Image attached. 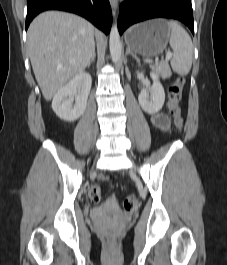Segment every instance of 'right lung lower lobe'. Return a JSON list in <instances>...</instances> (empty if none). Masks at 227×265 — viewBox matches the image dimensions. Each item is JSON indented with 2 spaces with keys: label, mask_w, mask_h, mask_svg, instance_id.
I'll return each mask as SVG.
<instances>
[{
  "label": "right lung lower lobe",
  "mask_w": 227,
  "mask_h": 265,
  "mask_svg": "<svg viewBox=\"0 0 227 265\" xmlns=\"http://www.w3.org/2000/svg\"><path fill=\"white\" fill-rule=\"evenodd\" d=\"M45 10H62L81 15L109 33L112 13L108 0H27L26 30L33 18Z\"/></svg>",
  "instance_id": "obj_1"
}]
</instances>
